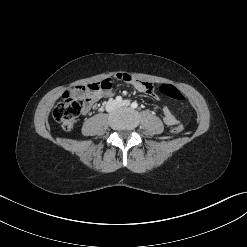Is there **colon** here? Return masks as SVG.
<instances>
[{"label": "colon", "mask_w": 247, "mask_h": 247, "mask_svg": "<svg viewBox=\"0 0 247 247\" xmlns=\"http://www.w3.org/2000/svg\"><path fill=\"white\" fill-rule=\"evenodd\" d=\"M111 87V80L105 79L99 82L80 86L76 91L66 93L53 110L54 119L61 125L64 130L70 131L75 126L81 111L80 105L77 101V91L83 93L88 101L95 102L103 92L109 90ZM159 91L163 95L173 100H184V96L182 95V93L171 84L161 85L159 87ZM182 131L183 126L181 124H177L171 129V133L174 135L180 134Z\"/></svg>", "instance_id": "colon-1"}]
</instances>
